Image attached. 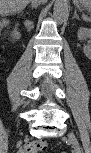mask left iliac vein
Returning a JSON list of instances; mask_svg holds the SVG:
<instances>
[{
  "label": "left iliac vein",
  "instance_id": "left-iliac-vein-1",
  "mask_svg": "<svg viewBox=\"0 0 91 153\" xmlns=\"http://www.w3.org/2000/svg\"><path fill=\"white\" fill-rule=\"evenodd\" d=\"M68 140L72 144L76 153H82L80 144H79V142H78V140H77V138L75 137L74 134L69 133L68 134Z\"/></svg>",
  "mask_w": 91,
  "mask_h": 153
}]
</instances>
